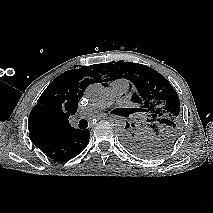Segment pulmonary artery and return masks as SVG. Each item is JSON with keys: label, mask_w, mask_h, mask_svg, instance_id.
<instances>
[{"label": "pulmonary artery", "mask_w": 213, "mask_h": 213, "mask_svg": "<svg viewBox=\"0 0 213 213\" xmlns=\"http://www.w3.org/2000/svg\"><path fill=\"white\" fill-rule=\"evenodd\" d=\"M128 88H129V82L126 79H117V80L111 81L107 88L106 97L101 101L93 102L87 105L86 107H83L80 110L78 116L83 118V117L90 116L99 112L105 107L118 101L123 96V94L127 92Z\"/></svg>", "instance_id": "e3ab8cb5"}]
</instances>
